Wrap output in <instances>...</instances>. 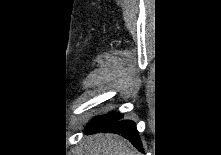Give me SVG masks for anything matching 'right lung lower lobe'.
<instances>
[{
    "mask_svg": "<svg viewBox=\"0 0 221 155\" xmlns=\"http://www.w3.org/2000/svg\"><path fill=\"white\" fill-rule=\"evenodd\" d=\"M122 116L117 114H107L98 116L86 127L84 133L92 134L96 132H110L121 134L124 138L143 151L136 125L133 121L122 120Z\"/></svg>",
    "mask_w": 221,
    "mask_h": 155,
    "instance_id": "right-lung-lower-lobe-1",
    "label": "right lung lower lobe"
}]
</instances>
